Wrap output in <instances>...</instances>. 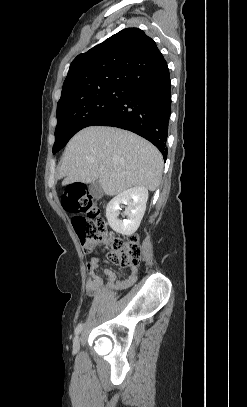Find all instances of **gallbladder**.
I'll return each mask as SVG.
<instances>
[{
  "label": "gallbladder",
  "instance_id": "obj_1",
  "mask_svg": "<svg viewBox=\"0 0 247 407\" xmlns=\"http://www.w3.org/2000/svg\"><path fill=\"white\" fill-rule=\"evenodd\" d=\"M89 191H90L91 195L96 199H100L104 195L103 189L101 187L99 180H96L90 184Z\"/></svg>",
  "mask_w": 247,
  "mask_h": 407
}]
</instances>
